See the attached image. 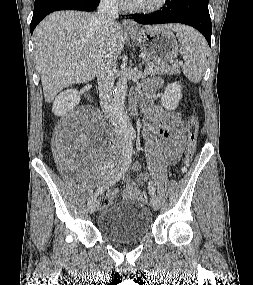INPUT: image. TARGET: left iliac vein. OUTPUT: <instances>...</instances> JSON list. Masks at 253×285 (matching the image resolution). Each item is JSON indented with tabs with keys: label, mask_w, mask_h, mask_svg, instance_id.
<instances>
[{
	"label": "left iliac vein",
	"mask_w": 253,
	"mask_h": 285,
	"mask_svg": "<svg viewBox=\"0 0 253 285\" xmlns=\"http://www.w3.org/2000/svg\"><path fill=\"white\" fill-rule=\"evenodd\" d=\"M150 205L154 210H158L160 206V201L158 197L154 194L151 196Z\"/></svg>",
	"instance_id": "obj_1"
}]
</instances>
